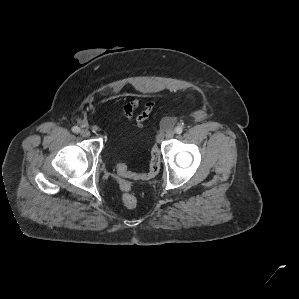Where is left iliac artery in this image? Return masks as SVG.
<instances>
[{"label":"left iliac artery","instance_id":"1","mask_svg":"<svg viewBox=\"0 0 299 299\" xmlns=\"http://www.w3.org/2000/svg\"><path fill=\"white\" fill-rule=\"evenodd\" d=\"M175 132L177 134H181L183 132V128L181 126H178V127L175 128Z\"/></svg>","mask_w":299,"mask_h":299}]
</instances>
